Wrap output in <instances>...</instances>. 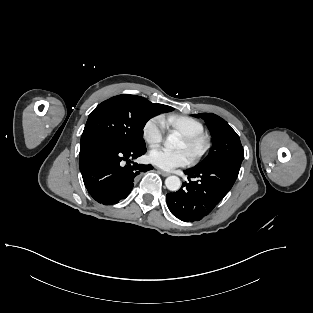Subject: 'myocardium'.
I'll use <instances>...</instances> for the list:
<instances>
[{
	"mask_svg": "<svg viewBox=\"0 0 313 313\" xmlns=\"http://www.w3.org/2000/svg\"><path fill=\"white\" fill-rule=\"evenodd\" d=\"M183 140L186 142L188 147L193 150V154L191 156L192 163L200 162L211 148L210 137L205 133L183 136Z\"/></svg>",
	"mask_w": 313,
	"mask_h": 313,
	"instance_id": "obj_1",
	"label": "myocardium"
}]
</instances>
